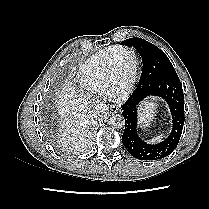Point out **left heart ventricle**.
Segmentation results:
<instances>
[{"mask_svg":"<svg viewBox=\"0 0 209 209\" xmlns=\"http://www.w3.org/2000/svg\"><path fill=\"white\" fill-rule=\"evenodd\" d=\"M133 72V55L123 51L116 55L114 62L113 84L116 88L124 87L130 80Z\"/></svg>","mask_w":209,"mask_h":209,"instance_id":"obj_1","label":"left heart ventricle"}]
</instances>
